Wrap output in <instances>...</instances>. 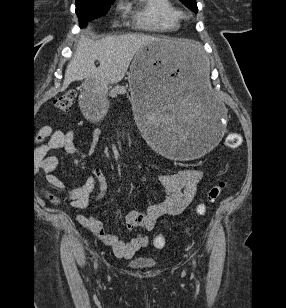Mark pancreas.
Wrapping results in <instances>:
<instances>
[{
    "instance_id": "cf45deb5",
    "label": "pancreas",
    "mask_w": 286,
    "mask_h": 308,
    "mask_svg": "<svg viewBox=\"0 0 286 308\" xmlns=\"http://www.w3.org/2000/svg\"><path fill=\"white\" fill-rule=\"evenodd\" d=\"M126 92H127L126 87L118 85L109 91V96L115 98L119 94H125Z\"/></svg>"
}]
</instances>
